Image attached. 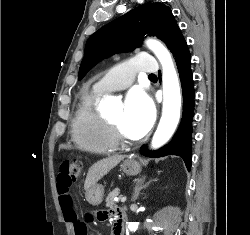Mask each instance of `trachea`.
<instances>
[{"mask_svg": "<svg viewBox=\"0 0 250 235\" xmlns=\"http://www.w3.org/2000/svg\"><path fill=\"white\" fill-rule=\"evenodd\" d=\"M149 77H156V75L155 74H150Z\"/></svg>", "mask_w": 250, "mask_h": 235, "instance_id": "trachea-1", "label": "trachea"}]
</instances>
